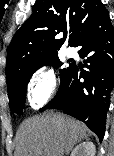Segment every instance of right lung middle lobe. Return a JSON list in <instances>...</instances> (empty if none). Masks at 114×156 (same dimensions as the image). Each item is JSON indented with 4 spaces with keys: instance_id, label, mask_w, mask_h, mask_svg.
I'll return each mask as SVG.
<instances>
[{
    "instance_id": "right-lung-middle-lobe-1",
    "label": "right lung middle lobe",
    "mask_w": 114,
    "mask_h": 156,
    "mask_svg": "<svg viewBox=\"0 0 114 156\" xmlns=\"http://www.w3.org/2000/svg\"><path fill=\"white\" fill-rule=\"evenodd\" d=\"M61 64H62L61 61L58 59L57 56H55L46 60L38 67L25 71L21 73L20 75L16 76L13 79V81L8 85L9 107L11 111L16 112L20 115L23 113L22 110L25 104L27 84H28L30 77L37 69L45 65H51V66H54L55 68H58ZM72 65L73 64L71 63L69 67L63 68L60 70L61 84H60L59 90L56 96L53 98V100L47 106L40 109V111L45 110L57 98V96L59 95L60 91L62 90L65 84L66 78L69 75Z\"/></svg>"
}]
</instances>
